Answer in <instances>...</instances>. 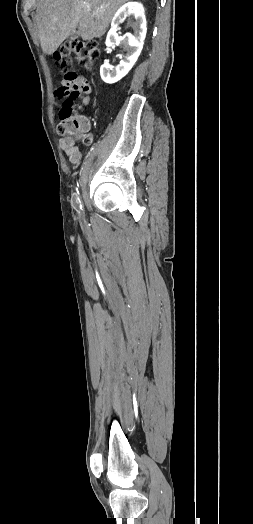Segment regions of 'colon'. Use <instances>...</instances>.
<instances>
[{"label": "colon", "instance_id": "1", "mask_svg": "<svg viewBox=\"0 0 253 524\" xmlns=\"http://www.w3.org/2000/svg\"><path fill=\"white\" fill-rule=\"evenodd\" d=\"M98 55L99 45L96 41L81 39L65 42L55 54L58 67L65 73L59 87L64 95L59 110L57 131L72 146L78 142L84 145L92 142L91 135L83 130V122L76 109V100L79 96L90 94L93 87L91 79L78 75L72 70L73 61L77 59L83 68L89 69Z\"/></svg>", "mask_w": 253, "mask_h": 524}]
</instances>
